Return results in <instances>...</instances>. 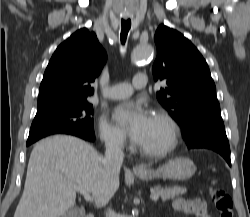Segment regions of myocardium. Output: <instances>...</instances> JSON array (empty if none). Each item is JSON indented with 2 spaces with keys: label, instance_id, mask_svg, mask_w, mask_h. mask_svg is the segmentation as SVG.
Instances as JSON below:
<instances>
[{
  "label": "myocardium",
  "instance_id": "obj_1",
  "mask_svg": "<svg viewBox=\"0 0 250 217\" xmlns=\"http://www.w3.org/2000/svg\"><path fill=\"white\" fill-rule=\"evenodd\" d=\"M154 116L158 117L167 126L169 132L168 142L158 149H147L139 146V150L141 153L149 157H161L169 154L177 146L180 128L176 120L164 110L157 109L154 112Z\"/></svg>",
  "mask_w": 250,
  "mask_h": 217
}]
</instances>
